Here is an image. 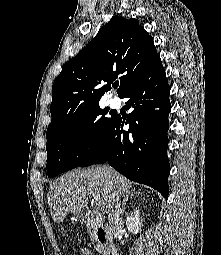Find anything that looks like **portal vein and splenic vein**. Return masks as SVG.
Masks as SVG:
<instances>
[{
  "label": "portal vein and splenic vein",
  "mask_w": 221,
  "mask_h": 255,
  "mask_svg": "<svg viewBox=\"0 0 221 255\" xmlns=\"http://www.w3.org/2000/svg\"><path fill=\"white\" fill-rule=\"evenodd\" d=\"M92 196L96 200L97 208H102V202L98 199V196L96 194H93Z\"/></svg>",
  "instance_id": "1"
}]
</instances>
